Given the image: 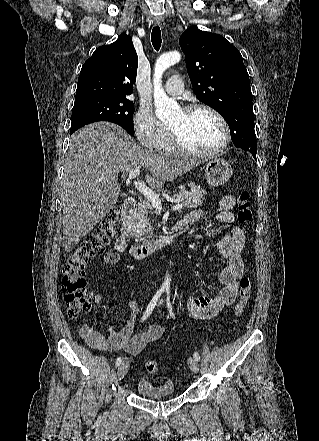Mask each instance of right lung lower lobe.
I'll list each match as a JSON object with an SVG mask.
<instances>
[{"label": "right lung lower lobe", "mask_w": 319, "mask_h": 441, "mask_svg": "<svg viewBox=\"0 0 319 441\" xmlns=\"http://www.w3.org/2000/svg\"><path fill=\"white\" fill-rule=\"evenodd\" d=\"M76 130H70V135L72 134V133H74Z\"/></svg>", "instance_id": "right-lung-lower-lobe-1"}]
</instances>
